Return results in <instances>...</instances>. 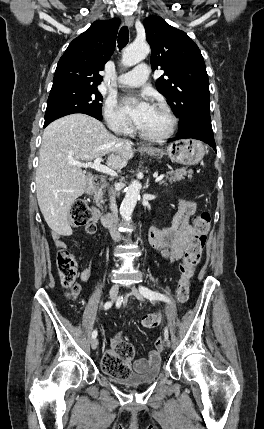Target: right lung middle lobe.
<instances>
[{
    "mask_svg": "<svg viewBox=\"0 0 264 429\" xmlns=\"http://www.w3.org/2000/svg\"><path fill=\"white\" fill-rule=\"evenodd\" d=\"M102 95L95 86H65L50 91L45 123L73 113H84L102 119Z\"/></svg>",
    "mask_w": 264,
    "mask_h": 429,
    "instance_id": "obj_1",
    "label": "right lung middle lobe"
}]
</instances>
